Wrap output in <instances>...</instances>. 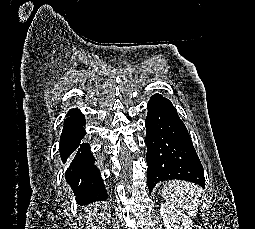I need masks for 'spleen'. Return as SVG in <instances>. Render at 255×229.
Returning <instances> with one entry per match:
<instances>
[{"label":"spleen","mask_w":255,"mask_h":229,"mask_svg":"<svg viewBox=\"0 0 255 229\" xmlns=\"http://www.w3.org/2000/svg\"><path fill=\"white\" fill-rule=\"evenodd\" d=\"M163 196L173 206L196 215L200 205L201 189L191 182L171 180L165 183Z\"/></svg>","instance_id":"1"}]
</instances>
